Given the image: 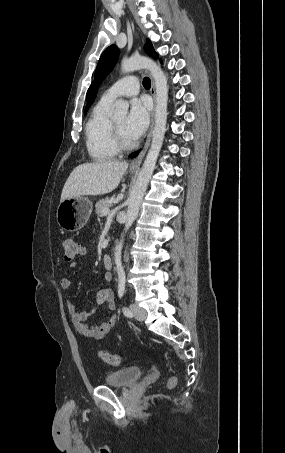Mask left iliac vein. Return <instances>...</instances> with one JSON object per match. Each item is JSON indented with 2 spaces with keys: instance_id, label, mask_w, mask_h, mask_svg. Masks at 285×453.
Wrapping results in <instances>:
<instances>
[{
  "instance_id": "left-iliac-vein-1",
  "label": "left iliac vein",
  "mask_w": 285,
  "mask_h": 453,
  "mask_svg": "<svg viewBox=\"0 0 285 453\" xmlns=\"http://www.w3.org/2000/svg\"><path fill=\"white\" fill-rule=\"evenodd\" d=\"M130 308L134 314V317L138 320V321H144L145 318H146V311L139 307L138 305L136 304H131L130 305Z\"/></svg>"
}]
</instances>
